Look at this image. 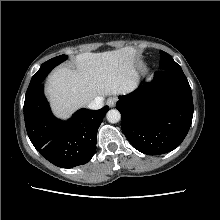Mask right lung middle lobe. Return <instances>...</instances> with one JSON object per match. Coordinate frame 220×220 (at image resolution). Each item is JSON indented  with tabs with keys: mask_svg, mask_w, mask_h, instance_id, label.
<instances>
[{
	"mask_svg": "<svg viewBox=\"0 0 220 220\" xmlns=\"http://www.w3.org/2000/svg\"><path fill=\"white\" fill-rule=\"evenodd\" d=\"M67 58V55H60L43 63L38 72L32 77L26 93L32 92L55 66L65 61Z\"/></svg>",
	"mask_w": 220,
	"mask_h": 220,
	"instance_id": "obj_1",
	"label": "right lung middle lobe"
}]
</instances>
